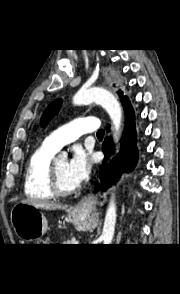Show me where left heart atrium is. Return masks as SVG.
<instances>
[{"label": "left heart atrium", "instance_id": "1", "mask_svg": "<svg viewBox=\"0 0 180 294\" xmlns=\"http://www.w3.org/2000/svg\"><path fill=\"white\" fill-rule=\"evenodd\" d=\"M91 168L92 160L90 154L82 148H76L68 162V174L75 185L79 186L88 178Z\"/></svg>", "mask_w": 180, "mask_h": 294}]
</instances>
